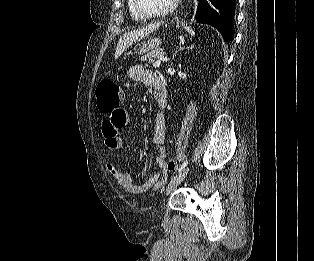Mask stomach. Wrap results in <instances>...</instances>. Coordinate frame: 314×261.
Returning a JSON list of instances; mask_svg holds the SVG:
<instances>
[{
    "instance_id": "0dacf381",
    "label": "stomach",
    "mask_w": 314,
    "mask_h": 261,
    "mask_svg": "<svg viewBox=\"0 0 314 261\" xmlns=\"http://www.w3.org/2000/svg\"><path fill=\"white\" fill-rule=\"evenodd\" d=\"M161 40L159 38H150L139 46L138 53H148L159 48Z\"/></svg>"
}]
</instances>
